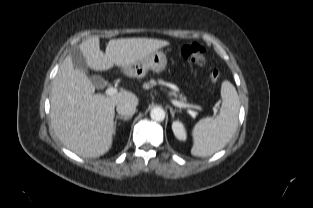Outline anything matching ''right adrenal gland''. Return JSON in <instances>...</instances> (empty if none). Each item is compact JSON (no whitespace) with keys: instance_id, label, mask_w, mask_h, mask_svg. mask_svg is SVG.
I'll list each match as a JSON object with an SVG mask.
<instances>
[{"instance_id":"right-adrenal-gland-1","label":"right adrenal gland","mask_w":313,"mask_h":208,"mask_svg":"<svg viewBox=\"0 0 313 208\" xmlns=\"http://www.w3.org/2000/svg\"><path fill=\"white\" fill-rule=\"evenodd\" d=\"M117 119L127 121V120L131 119V116H116V121H115V126H114L115 129H116V125H117Z\"/></svg>"}]
</instances>
